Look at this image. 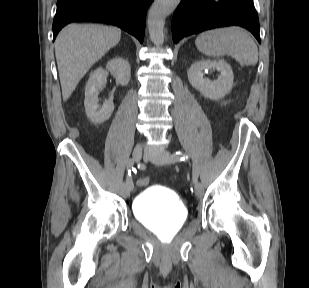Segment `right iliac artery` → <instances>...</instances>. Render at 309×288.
Wrapping results in <instances>:
<instances>
[{
	"label": "right iliac artery",
	"instance_id": "1",
	"mask_svg": "<svg viewBox=\"0 0 309 288\" xmlns=\"http://www.w3.org/2000/svg\"><path fill=\"white\" fill-rule=\"evenodd\" d=\"M137 163V162H136ZM135 165V162L133 163V164H128L127 165V170H126V173H127V179H126V184H127V187H129V188H132V185H133V183H132V174H130L131 173V171L133 170V167L132 166H134ZM137 170H140V171H142V170H147L148 171V169L144 166V165H137Z\"/></svg>",
	"mask_w": 309,
	"mask_h": 288
}]
</instances>
